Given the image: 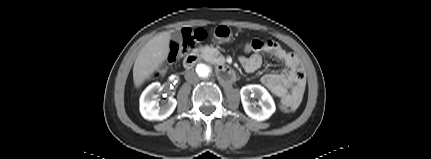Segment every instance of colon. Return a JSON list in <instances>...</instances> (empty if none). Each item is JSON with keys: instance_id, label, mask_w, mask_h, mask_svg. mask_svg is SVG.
<instances>
[{"instance_id": "5ec220e1", "label": "colon", "mask_w": 431, "mask_h": 159, "mask_svg": "<svg viewBox=\"0 0 431 159\" xmlns=\"http://www.w3.org/2000/svg\"><path fill=\"white\" fill-rule=\"evenodd\" d=\"M204 38V32L200 29L196 30H188L183 34V39L181 42H175L173 41L170 45V53H169V60L175 61L178 57L186 53L189 48L195 44L198 41H201ZM252 40H247L246 43H244V47H242V52L249 54L252 51ZM277 109L281 112H288L287 107L281 104H277Z\"/></svg>"}]
</instances>
